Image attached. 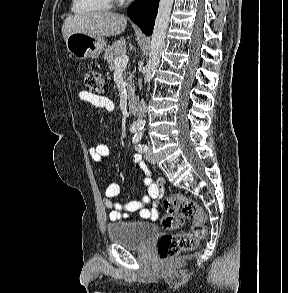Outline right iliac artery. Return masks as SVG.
<instances>
[{"mask_svg":"<svg viewBox=\"0 0 288 293\" xmlns=\"http://www.w3.org/2000/svg\"><path fill=\"white\" fill-rule=\"evenodd\" d=\"M130 131L132 133H135L137 131V127L136 126H131Z\"/></svg>","mask_w":288,"mask_h":293,"instance_id":"1","label":"right iliac artery"}]
</instances>
